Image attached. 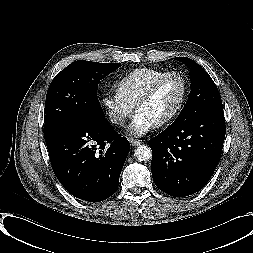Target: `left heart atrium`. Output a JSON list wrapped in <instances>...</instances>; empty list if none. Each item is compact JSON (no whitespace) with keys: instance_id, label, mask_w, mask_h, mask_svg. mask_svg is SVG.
Wrapping results in <instances>:
<instances>
[{"instance_id":"left-heart-atrium-1","label":"left heart atrium","mask_w":253,"mask_h":253,"mask_svg":"<svg viewBox=\"0 0 253 253\" xmlns=\"http://www.w3.org/2000/svg\"><path fill=\"white\" fill-rule=\"evenodd\" d=\"M156 123L142 113L137 112L128 127V132L133 135L142 136L148 133Z\"/></svg>"}]
</instances>
